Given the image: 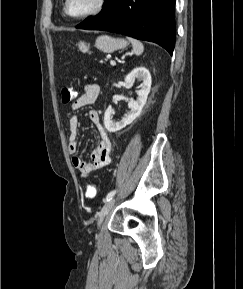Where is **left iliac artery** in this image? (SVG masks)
I'll list each match as a JSON object with an SVG mask.
<instances>
[{
    "label": "left iliac artery",
    "mask_w": 243,
    "mask_h": 289,
    "mask_svg": "<svg viewBox=\"0 0 243 289\" xmlns=\"http://www.w3.org/2000/svg\"><path fill=\"white\" fill-rule=\"evenodd\" d=\"M115 194H116V190H113V191L109 192V193L107 194V196H106V198H105L104 201L107 202V201L113 199V197H114Z\"/></svg>",
    "instance_id": "left-iliac-artery-1"
}]
</instances>
